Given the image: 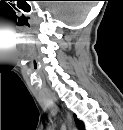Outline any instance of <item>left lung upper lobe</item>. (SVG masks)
<instances>
[{
	"instance_id": "obj_1",
	"label": "left lung upper lobe",
	"mask_w": 123,
	"mask_h": 130,
	"mask_svg": "<svg viewBox=\"0 0 123 130\" xmlns=\"http://www.w3.org/2000/svg\"><path fill=\"white\" fill-rule=\"evenodd\" d=\"M75 120H76V124H77L78 128L83 130V123L81 121L77 120V118Z\"/></svg>"
}]
</instances>
